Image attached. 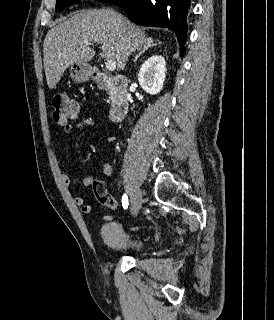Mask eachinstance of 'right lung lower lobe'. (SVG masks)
I'll return each mask as SVG.
<instances>
[{
    "label": "right lung lower lobe",
    "mask_w": 274,
    "mask_h": 320,
    "mask_svg": "<svg viewBox=\"0 0 274 320\" xmlns=\"http://www.w3.org/2000/svg\"><path fill=\"white\" fill-rule=\"evenodd\" d=\"M121 7L128 18L142 26L168 27L175 32L180 55L185 54L187 17H190L191 0H111Z\"/></svg>",
    "instance_id": "1"
}]
</instances>
